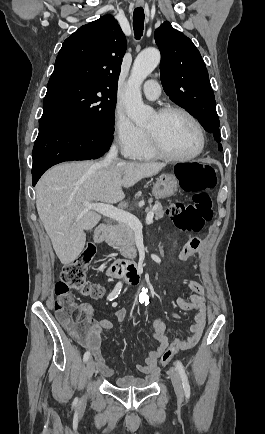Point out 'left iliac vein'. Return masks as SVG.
I'll return each mask as SVG.
<instances>
[{"mask_svg":"<svg viewBox=\"0 0 265 434\" xmlns=\"http://www.w3.org/2000/svg\"><path fill=\"white\" fill-rule=\"evenodd\" d=\"M170 378H171V381H172V384L174 387L176 397H177L178 401L182 402L184 395H183V388H182L181 379H180L178 372L173 367L170 368Z\"/></svg>","mask_w":265,"mask_h":434,"instance_id":"left-iliac-vein-1","label":"left iliac vein"}]
</instances>
